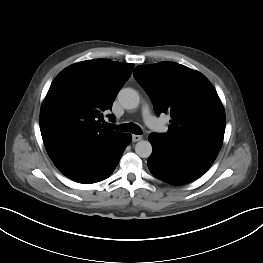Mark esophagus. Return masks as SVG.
Masks as SVG:
<instances>
[{
	"label": "esophagus",
	"instance_id": "1",
	"mask_svg": "<svg viewBox=\"0 0 263 263\" xmlns=\"http://www.w3.org/2000/svg\"><path fill=\"white\" fill-rule=\"evenodd\" d=\"M140 140H142V136H140V135H135V134L132 135V141H133V142H138V141H140Z\"/></svg>",
	"mask_w": 263,
	"mask_h": 263
}]
</instances>
